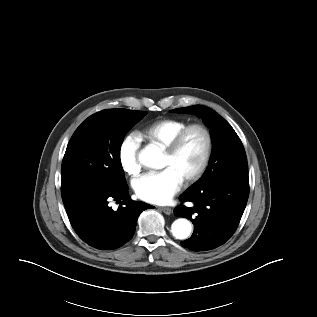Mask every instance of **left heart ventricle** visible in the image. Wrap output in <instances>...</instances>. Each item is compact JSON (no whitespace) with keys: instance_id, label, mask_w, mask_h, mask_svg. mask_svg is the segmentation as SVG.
<instances>
[{"instance_id":"obj_1","label":"left heart ventricle","mask_w":317,"mask_h":317,"mask_svg":"<svg viewBox=\"0 0 317 317\" xmlns=\"http://www.w3.org/2000/svg\"><path fill=\"white\" fill-rule=\"evenodd\" d=\"M205 136L198 130H191L175 156L164 154L162 167L173 168L182 179L191 175L199 166L205 151Z\"/></svg>"}]
</instances>
